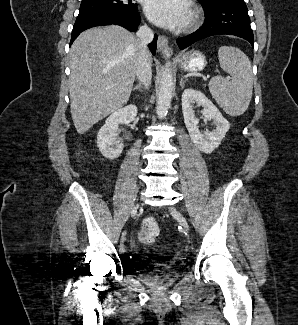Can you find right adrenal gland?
<instances>
[{"instance_id":"right-adrenal-gland-1","label":"right adrenal gland","mask_w":298,"mask_h":325,"mask_svg":"<svg viewBox=\"0 0 298 325\" xmlns=\"http://www.w3.org/2000/svg\"><path fill=\"white\" fill-rule=\"evenodd\" d=\"M143 82H139V84H136L132 90H143V88H147V86H142Z\"/></svg>"}]
</instances>
